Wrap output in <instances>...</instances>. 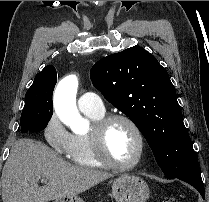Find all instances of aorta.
<instances>
[{"label": "aorta", "mask_w": 209, "mask_h": 202, "mask_svg": "<svg viewBox=\"0 0 209 202\" xmlns=\"http://www.w3.org/2000/svg\"><path fill=\"white\" fill-rule=\"evenodd\" d=\"M78 78L69 75L62 79L54 94V108L60 120L75 133L86 132L89 122L83 118L76 107Z\"/></svg>", "instance_id": "1"}]
</instances>
